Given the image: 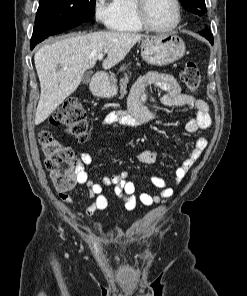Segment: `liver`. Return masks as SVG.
<instances>
[{
	"label": "liver",
	"mask_w": 247,
	"mask_h": 296,
	"mask_svg": "<svg viewBox=\"0 0 247 296\" xmlns=\"http://www.w3.org/2000/svg\"><path fill=\"white\" fill-rule=\"evenodd\" d=\"M143 37L137 33L99 31L66 37L41 47L34 56L41 87L35 124L44 122L78 88L85 71L94 67L99 54H107L102 67L110 69Z\"/></svg>",
	"instance_id": "6515ba94"
}]
</instances>
